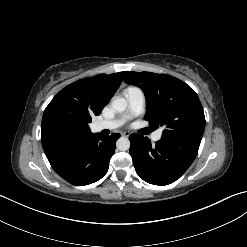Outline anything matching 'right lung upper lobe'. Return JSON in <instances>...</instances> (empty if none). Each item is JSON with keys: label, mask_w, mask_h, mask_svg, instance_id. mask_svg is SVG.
<instances>
[{"label": "right lung upper lobe", "mask_w": 247, "mask_h": 247, "mask_svg": "<svg viewBox=\"0 0 247 247\" xmlns=\"http://www.w3.org/2000/svg\"><path fill=\"white\" fill-rule=\"evenodd\" d=\"M122 74H99L62 89L46 107L41 127L44 152L49 155L82 144L93 134L88 123L99 115L117 91Z\"/></svg>", "instance_id": "1"}]
</instances>
